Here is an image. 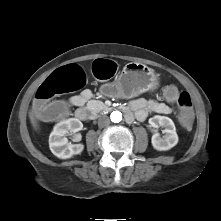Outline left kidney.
Listing matches in <instances>:
<instances>
[{
	"label": "left kidney",
	"instance_id": "1",
	"mask_svg": "<svg viewBox=\"0 0 221 221\" xmlns=\"http://www.w3.org/2000/svg\"><path fill=\"white\" fill-rule=\"evenodd\" d=\"M149 124L153 128H164L163 137H160L159 133L154 130L151 139L154 149L158 151H167L178 143V135L176 133L174 122L169 117L156 115L149 119Z\"/></svg>",
	"mask_w": 221,
	"mask_h": 221
}]
</instances>
